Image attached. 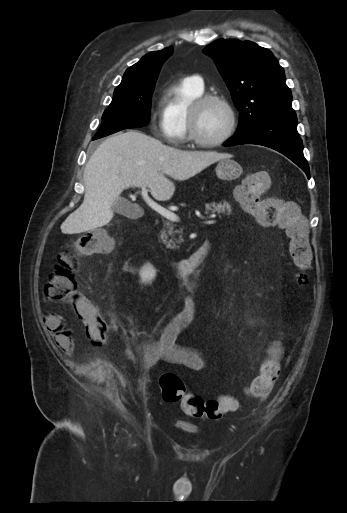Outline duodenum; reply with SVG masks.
Wrapping results in <instances>:
<instances>
[{"mask_svg": "<svg viewBox=\"0 0 347 513\" xmlns=\"http://www.w3.org/2000/svg\"><path fill=\"white\" fill-rule=\"evenodd\" d=\"M210 249V242H203L188 258L171 264L175 277L180 281H193L196 278V269L206 258Z\"/></svg>", "mask_w": 347, "mask_h": 513, "instance_id": "duodenum-1", "label": "duodenum"}]
</instances>
